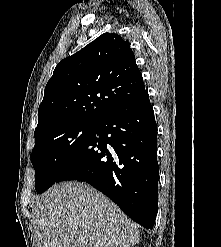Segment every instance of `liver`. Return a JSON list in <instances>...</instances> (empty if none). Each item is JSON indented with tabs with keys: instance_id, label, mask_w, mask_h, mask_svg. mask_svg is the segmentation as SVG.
<instances>
[{
	"instance_id": "liver-1",
	"label": "liver",
	"mask_w": 221,
	"mask_h": 247,
	"mask_svg": "<svg viewBox=\"0 0 221 247\" xmlns=\"http://www.w3.org/2000/svg\"><path fill=\"white\" fill-rule=\"evenodd\" d=\"M36 247H130L136 225L99 191L62 182L37 198L32 212Z\"/></svg>"
}]
</instances>
